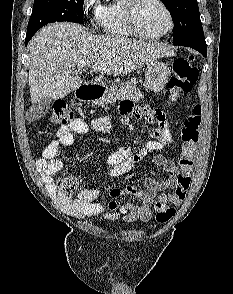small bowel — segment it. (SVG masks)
<instances>
[{
    "mask_svg": "<svg viewBox=\"0 0 233 294\" xmlns=\"http://www.w3.org/2000/svg\"><path fill=\"white\" fill-rule=\"evenodd\" d=\"M150 103H137V108L130 101H123L119 106L120 114L133 115L141 118V122H150L155 127L151 139L144 147L134 151L123 147L107 155L106 164L109 174L119 177L130 171L134 164L142 161L148 153L160 151L171 145L172 134L168 127L165 114L160 109L150 108ZM145 116V117H142ZM112 125L107 116L95 118L90 124L82 119H74L70 124L60 127L57 138L50 142L43 150V157L37 161V167L45 178L51 179L63 168V161L58 158L60 146L69 147L74 142V134H86L90 130L99 133L111 131ZM153 163L167 173L164 180L148 177L144 180V188L137 189L128 186L123 191L125 194L135 195L138 204L127 203L121 207L112 201L105 206L99 199L101 192L97 189H82L75 198L63 195L58 188V181H50L54 197L59 206L69 215L77 218L102 215L108 219L122 218L125 221H149L152 217V204L156 194L166 189H174L178 185L179 168L162 154L153 158ZM121 194L119 189L111 192L113 197Z\"/></svg>",
    "mask_w": 233,
    "mask_h": 294,
    "instance_id": "small-bowel-1",
    "label": "small bowel"
}]
</instances>
